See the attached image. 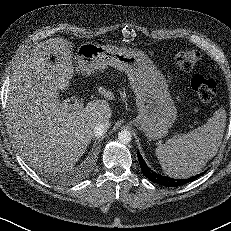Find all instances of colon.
<instances>
[{"label": "colon", "instance_id": "5ec220e1", "mask_svg": "<svg viewBox=\"0 0 231 231\" xmlns=\"http://www.w3.org/2000/svg\"><path fill=\"white\" fill-rule=\"evenodd\" d=\"M200 55L196 51H181L175 56V64L180 71H191L198 63ZM191 87L197 97L204 103H210L216 93V83L201 75L193 77Z\"/></svg>", "mask_w": 231, "mask_h": 231}]
</instances>
